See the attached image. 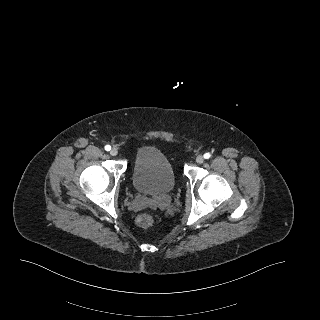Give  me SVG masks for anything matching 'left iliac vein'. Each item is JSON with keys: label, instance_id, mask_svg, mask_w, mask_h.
<instances>
[{"label": "left iliac vein", "instance_id": "4c4485c4", "mask_svg": "<svg viewBox=\"0 0 320 320\" xmlns=\"http://www.w3.org/2000/svg\"><path fill=\"white\" fill-rule=\"evenodd\" d=\"M203 162H204V157L201 156V155H198V156L196 157V163L202 164Z\"/></svg>", "mask_w": 320, "mask_h": 320}]
</instances>
